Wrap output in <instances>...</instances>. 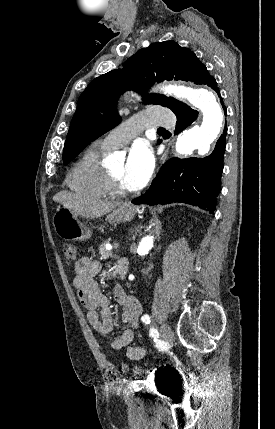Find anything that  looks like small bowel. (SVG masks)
Wrapping results in <instances>:
<instances>
[{"label": "small bowel", "instance_id": "1", "mask_svg": "<svg viewBox=\"0 0 275 429\" xmlns=\"http://www.w3.org/2000/svg\"><path fill=\"white\" fill-rule=\"evenodd\" d=\"M102 264L89 257H82L75 264L74 286L77 289L80 303L87 310V318L91 326L101 335L110 336L114 329L109 298L100 290L95 277L101 272ZM114 299L121 306L120 318L129 324L130 328L120 331L111 342L115 350L126 348L127 357L131 360H141L145 356V349L141 346L130 345L133 329L137 326L141 314L138 300L125 292L120 286L113 289Z\"/></svg>", "mask_w": 275, "mask_h": 429}]
</instances>
